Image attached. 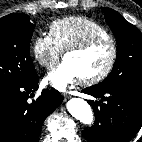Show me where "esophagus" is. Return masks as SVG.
Masks as SVG:
<instances>
[{
  "instance_id": "34e87169",
  "label": "esophagus",
  "mask_w": 142,
  "mask_h": 142,
  "mask_svg": "<svg viewBox=\"0 0 142 142\" xmlns=\"http://www.w3.org/2000/svg\"><path fill=\"white\" fill-rule=\"evenodd\" d=\"M62 96L64 100H68L71 97L69 94H66V93L62 94Z\"/></svg>"
}]
</instances>
